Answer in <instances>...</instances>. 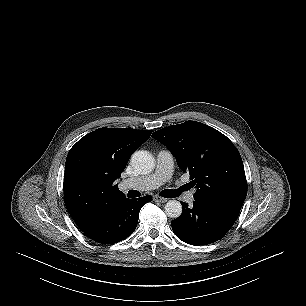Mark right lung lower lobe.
Listing matches in <instances>:
<instances>
[{
  "label": "right lung lower lobe",
  "mask_w": 306,
  "mask_h": 306,
  "mask_svg": "<svg viewBox=\"0 0 306 306\" xmlns=\"http://www.w3.org/2000/svg\"><path fill=\"white\" fill-rule=\"evenodd\" d=\"M151 200L150 195L138 199H125L102 218L81 230L93 241L102 244L117 243L134 232L140 209Z\"/></svg>",
  "instance_id": "obj_1"
}]
</instances>
